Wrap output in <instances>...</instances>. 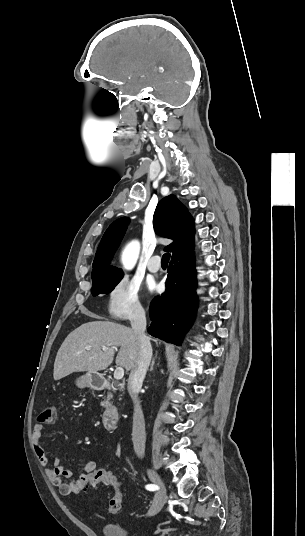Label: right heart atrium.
Returning <instances> with one entry per match:
<instances>
[{
	"instance_id": "d8ad5b80",
	"label": "right heart atrium",
	"mask_w": 305,
	"mask_h": 536,
	"mask_svg": "<svg viewBox=\"0 0 305 536\" xmlns=\"http://www.w3.org/2000/svg\"><path fill=\"white\" fill-rule=\"evenodd\" d=\"M140 285L129 276H121L106 298V309L114 318L128 320L144 313Z\"/></svg>"
}]
</instances>
